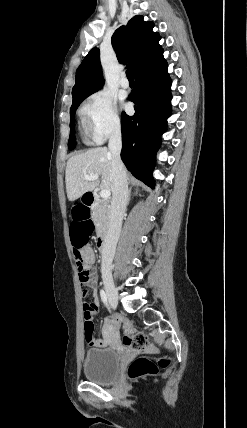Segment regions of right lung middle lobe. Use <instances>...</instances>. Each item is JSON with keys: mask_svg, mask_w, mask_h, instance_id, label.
<instances>
[{"mask_svg": "<svg viewBox=\"0 0 247 428\" xmlns=\"http://www.w3.org/2000/svg\"><path fill=\"white\" fill-rule=\"evenodd\" d=\"M84 99H82V100L76 102L75 104H73L71 106V109H70V137H69V141H68V148L70 150H73L75 148V128H74L75 113H76V110H77L78 106L80 105V103Z\"/></svg>", "mask_w": 247, "mask_h": 428, "instance_id": "1", "label": "right lung middle lobe"}]
</instances>
